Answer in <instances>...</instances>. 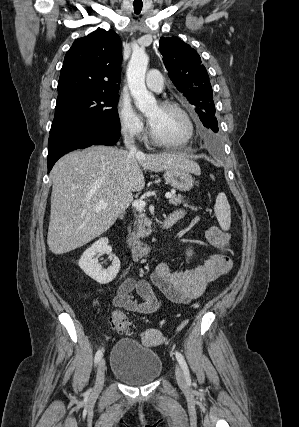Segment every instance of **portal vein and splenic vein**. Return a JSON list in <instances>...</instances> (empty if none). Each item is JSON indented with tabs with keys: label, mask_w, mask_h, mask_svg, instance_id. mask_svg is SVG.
I'll return each mask as SVG.
<instances>
[{
	"label": "portal vein and splenic vein",
	"mask_w": 299,
	"mask_h": 427,
	"mask_svg": "<svg viewBox=\"0 0 299 427\" xmlns=\"http://www.w3.org/2000/svg\"><path fill=\"white\" fill-rule=\"evenodd\" d=\"M165 196L166 198H170L171 194L167 193ZM107 206H108V203H103V204H100L97 208L103 209V208H106ZM132 206L138 210H143L146 206V202L143 200H135L132 202Z\"/></svg>",
	"instance_id": "18ae733b"
}]
</instances>
